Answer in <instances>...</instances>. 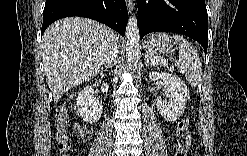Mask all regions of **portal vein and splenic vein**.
I'll return each instance as SVG.
<instances>
[{"mask_svg": "<svg viewBox=\"0 0 247 156\" xmlns=\"http://www.w3.org/2000/svg\"><path fill=\"white\" fill-rule=\"evenodd\" d=\"M160 63L166 65V60L165 59H162V60H160Z\"/></svg>", "mask_w": 247, "mask_h": 156, "instance_id": "1", "label": "portal vein and splenic vein"}]
</instances>
